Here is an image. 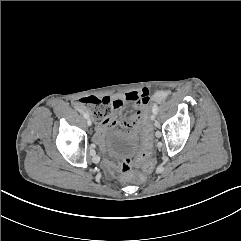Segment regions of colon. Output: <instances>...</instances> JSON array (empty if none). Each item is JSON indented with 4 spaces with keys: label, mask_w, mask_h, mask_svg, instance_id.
Returning a JSON list of instances; mask_svg holds the SVG:
<instances>
[{
    "label": "colon",
    "mask_w": 241,
    "mask_h": 241,
    "mask_svg": "<svg viewBox=\"0 0 241 241\" xmlns=\"http://www.w3.org/2000/svg\"><path fill=\"white\" fill-rule=\"evenodd\" d=\"M78 107L80 110H85L90 113L92 118L98 122L103 123L111 119L114 112V104L107 98H98L95 96L83 97L78 101ZM143 133L140 139V145L143 149L140 157H135L132 160L124 159L120 163V171L123 174V179L128 182L142 183L145 181V176L139 171L132 170L133 167H140L148 175L155 173L153 167V161L150 158V145H151V134L152 127L144 126Z\"/></svg>",
    "instance_id": "5ec220e1"
}]
</instances>
